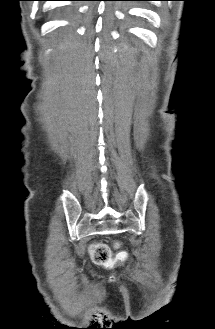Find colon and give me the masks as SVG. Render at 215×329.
Masks as SVG:
<instances>
[{
	"label": "colon",
	"mask_w": 215,
	"mask_h": 329,
	"mask_svg": "<svg viewBox=\"0 0 215 329\" xmlns=\"http://www.w3.org/2000/svg\"><path fill=\"white\" fill-rule=\"evenodd\" d=\"M90 255L93 262L97 265H108L112 261V251L106 244L96 243L90 246ZM128 254L126 251H120L117 254L118 260H126Z\"/></svg>",
	"instance_id": "obj_1"
}]
</instances>
